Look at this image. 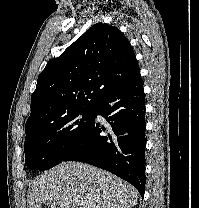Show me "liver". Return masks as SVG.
Instances as JSON below:
<instances>
[{"label": "liver", "instance_id": "1", "mask_svg": "<svg viewBox=\"0 0 199 208\" xmlns=\"http://www.w3.org/2000/svg\"><path fill=\"white\" fill-rule=\"evenodd\" d=\"M138 192L116 175L81 162H62L29 185L28 208H132Z\"/></svg>", "mask_w": 199, "mask_h": 208}]
</instances>
